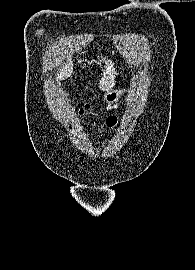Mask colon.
Returning a JSON list of instances; mask_svg holds the SVG:
<instances>
[{"label":"colon","instance_id":"obj_1","mask_svg":"<svg viewBox=\"0 0 195 270\" xmlns=\"http://www.w3.org/2000/svg\"><path fill=\"white\" fill-rule=\"evenodd\" d=\"M87 109H88V106L80 108V110H79L80 114H83ZM105 124L109 128H113L117 124V117H115V116L107 117Z\"/></svg>","mask_w":195,"mask_h":270}]
</instances>
